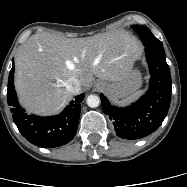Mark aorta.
<instances>
[{
    "instance_id": "obj_1",
    "label": "aorta",
    "mask_w": 187,
    "mask_h": 187,
    "mask_svg": "<svg viewBox=\"0 0 187 187\" xmlns=\"http://www.w3.org/2000/svg\"><path fill=\"white\" fill-rule=\"evenodd\" d=\"M86 101L87 105L91 108L98 107L100 104V98L97 95H89Z\"/></svg>"
}]
</instances>
